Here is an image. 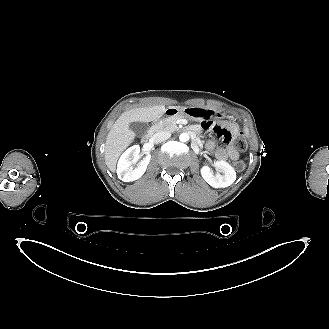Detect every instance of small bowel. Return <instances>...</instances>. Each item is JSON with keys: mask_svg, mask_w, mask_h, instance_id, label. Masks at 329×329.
<instances>
[{"mask_svg": "<svg viewBox=\"0 0 329 329\" xmlns=\"http://www.w3.org/2000/svg\"><path fill=\"white\" fill-rule=\"evenodd\" d=\"M196 127L203 129L204 132L211 134L215 133L216 137L222 139L225 143L223 147H215L213 142L208 144L210 150H214L215 156L219 160H237L239 158V152L232 144L234 138L233 134L239 131V128L235 124H230L228 128L221 126L219 122H215L211 119L198 118L196 120Z\"/></svg>", "mask_w": 329, "mask_h": 329, "instance_id": "obj_1", "label": "small bowel"}]
</instances>
